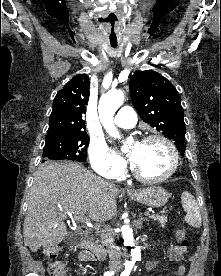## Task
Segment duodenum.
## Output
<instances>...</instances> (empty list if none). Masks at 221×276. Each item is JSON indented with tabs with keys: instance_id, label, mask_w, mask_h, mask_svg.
Listing matches in <instances>:
<instances>
[{
	"instance_id": "obj_1",
	"label": "duodenum",
	"mask_w": 221,
	"mask_h": 276,
	"mask_svg": "<svg viewBox=\"0 0 221 276\" xmlns=\"http://www.w3.org/2000/svg\"><path fill=\"white\" fill-rule=\"evenodd\" d=\"M92 234L90 231H85L81 241L78 246L82 249L83 252L90 254L93 258L104 259L105 251L101 247L93 246L92 243Z\"/></svg>"
}]
</instances>
